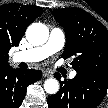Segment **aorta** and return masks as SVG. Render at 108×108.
Returning a JSON list of instances; mask_svg holds the SVG:
<instances>
[{"instance_id": "1", "label": "aorta", "mask_w": 108, "mask_h": 108, "mask_svg": "<svg viewBox=\"0 0 108 108\" xmlns=\"http://www.w3.org/2000/svg\"><path fill=\"white\" fill-rule=\"evenodd\" d=\"M26 38L34 46L43 45L49 38V31L42 23H32L26 30ZM44 89L49 94H55L59 90V82L55 78L44 82Z\"/></svg>"}]
</instances>
